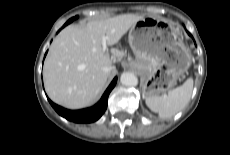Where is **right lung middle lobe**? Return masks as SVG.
Wrapping results in <instances>:
<instances>
[{"instance_id":"right-lung-middle-lobe-1","label":"right lung middle lobe","mask_w":230,"mask_h":155,"mask_svg":"<svg viewBox=\"0 0 230 155\" xmlns=\"http://www.w3.org/2000/svg\"><path fill=\"white\" fill-rule=\"evenodd\" d=\"M76 18H78V16H76L75 18L73 17V18H71L70 20H68L65 24H69V23H71L74 19H76Z\"/></svg>"}]
</instances>
